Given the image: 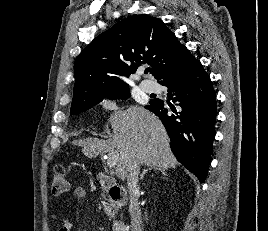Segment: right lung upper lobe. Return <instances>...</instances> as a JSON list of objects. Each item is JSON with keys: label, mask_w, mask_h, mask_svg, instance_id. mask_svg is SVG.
Here are the masks:
<instances>
[{"label": "right lung upper lobe", "mask_w": 268, "mask_h": 231, "mask_svg": "<svg viewBox=\"0 0 268 231\" xmlns=\"http://www.w3.org/2000/svg\"><path fill=\"white\" fill-rule=\"evenodd\" d=\"M195 61L161 19L128 17L98 35L76 58L72 104L128 88L117 75L133 74L141 64H149L160 82Z\"/></svg>", "instance_id": "cb5924a9"}]
</instances>
